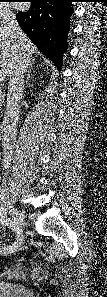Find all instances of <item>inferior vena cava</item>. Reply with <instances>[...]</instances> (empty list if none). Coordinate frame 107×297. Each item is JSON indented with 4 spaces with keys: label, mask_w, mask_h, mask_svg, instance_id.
I'll return each instance as SVG.
<instances>
[{
    "label": "inferior vena cava",
    "mask_w": 107,
    "mask_h": 297,
    "mask_svg": "<svg viewBox=\"0 0 107 297\" xmlns=\"http://www.w3.org/2000/svg\"><path fill=\"white\" fill-rule=\"evenodd\" d=\"M0 31H5L11 38H17L20 28L15 15L7 12L1 16ZM31 65L30 56L22 48H18L14 65L9 71L8 93L3 120V162L5 167H9L12 150L17 135V123L19 119L20 103L23 97L25 74Z\"/></svg>",
    "instance_id": "obj_1"
}]
</instances>
